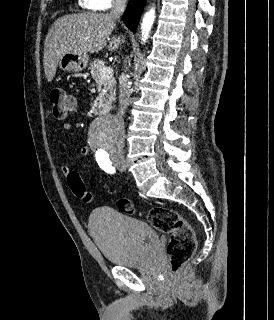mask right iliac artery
<instances>
[{"label": "right iliac artery", "mask_w": 274, "mask_h": 320, "mask_svg": "<svg viewBox=\"0 0 274 320\" xmlns=\"http://www.w3.org/2000/svg\"><path fill=\"white\" fill-rule=\"evenodd\" d=\"M98 165L107 172H115L114 167L111 164V161L108 158L100 159L97 161Z\"/></svg>", "instance_id": "right-iliac-artery-1"}]
</instances>
